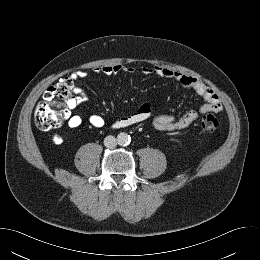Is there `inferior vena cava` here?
<instances>
[{
    "label": "inferior vena cava",
    "instance_id": "602c4592",
    "mask_svg": "<svg viewBox=\"0 0 260 260\" xmlns=\"http://www.w3.org/2000/svg\"><path fill=\"white\" fill-rule=\"evenodd\" d=\"M104 145L107 148H114L117 145V139L112 135L106 136L104 139Z\"/></svg>",
    "mask_w": 260,
    "mask_h": 260
}]
</instances>
